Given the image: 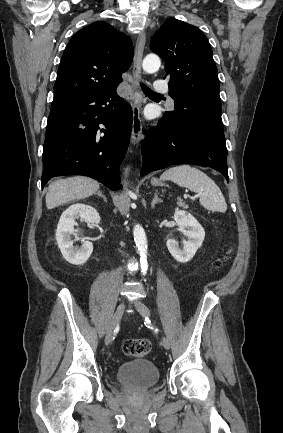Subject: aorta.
Here are the masks:
<instances>
[{"label":"aorta","instance_id":"aorta-1","mask_svg":"<svg viewBox=\"0 0 283 433\" xmlns=\"http://www.w3.org/2000/svg\"><path fill=\"white\" fill-rule=\"evenodd\" d=\"M161 66L160 58L155 54H148L142 63V68L147 73H155ZM133 235L136 247L140 254V262L142 271L145 272L148 268L147 265V238L143 227L136 224L133 228Z\"/></svg>","mask_w":283,"mask_h":433}]
</instances>
